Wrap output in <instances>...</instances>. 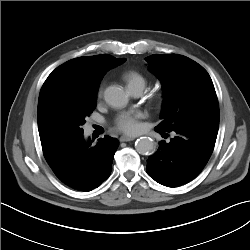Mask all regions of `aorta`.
<instances>
[{"label":"aorta","instance_id":"762f6f07","mask_svg":"<svg viewBox=\"0 0 250 250\" xmlns=\"http://www.w3.org/2000/svg\"><path fill=\"white\" fill-rule=\"evenodd\" d=\"M105 101L114 108H124L128 104V95L120 86H109L104 91ZM135 149L139 154L148 155L155 150L154 142L149 137H140L135 142Z\"/></svg>","mask_w":250,"mask_h":250}]
</instances>
